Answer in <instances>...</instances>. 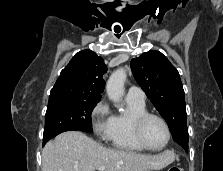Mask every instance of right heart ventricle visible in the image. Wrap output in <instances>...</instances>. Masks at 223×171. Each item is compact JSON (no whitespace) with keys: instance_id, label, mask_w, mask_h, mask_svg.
I'll return each instance as SVG.
<instances>
[{"instance_id":"e07e8e85","label":"right heart ventricle","mask_w":223,"mask_h":171,"mask_svg":"<svg viewBox=\"0 0 223 171\" xmlns=\"http://www.w3.org/2000/svg\"><path fill=\"white\" fill-rule=\"evenodd\" d=\"M128 112L112 115L111 127L106 136L116 149L127 152H143L146 149L136 140L133 133L134 117L147 112L146 104L127 99Z\"/></svg>"}]
</instances>
